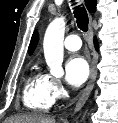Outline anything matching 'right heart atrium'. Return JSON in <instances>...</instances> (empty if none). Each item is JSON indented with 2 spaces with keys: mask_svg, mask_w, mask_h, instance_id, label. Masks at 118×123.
I'll use <instances>...</instances> for the list:
<instances>
[{
  "mask_svg": "<svg viewBox=\"0 0 118 123\" xmlns=\"http://www.w3.org/2000/svg\"><path fill=\"white\" fill-rule=\"evenodd\" d=\"M44 76H45L47 88L51 98L54 101L61 99L65 95V89L61 80L49 74H46Z\"/></svg>",
  "mask_w": 118,
  "mask_h": 123,
  "instance_id": "1",
  "label": "right heart atrium"
}]
</instances>
